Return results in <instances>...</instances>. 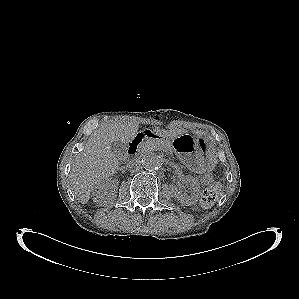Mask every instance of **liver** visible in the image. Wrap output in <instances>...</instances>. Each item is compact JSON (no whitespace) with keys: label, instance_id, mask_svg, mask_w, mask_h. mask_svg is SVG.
Listing matches in <instances>:
<instances>
[{"label":"liver","instance_id":"1","mask_svg":"<svg viewBox=\"0 0 299 299\" xmlns=\"http://www.w3.org/2000/svg\"><path fill=\"white\" fill-rule=\"evenodd\" d=\"M138 127L135 122L105 123L92 133L84 150L76 157L69 175L79 202L86 204L95 187L116 173L120 160L112 152L111 145L114 141L128 144L136 136ZM152 132L163 139L175 138L182 133L175 129H154Z\"/></svg>","mask_w":299,"mask_h":299}]
</instances>
